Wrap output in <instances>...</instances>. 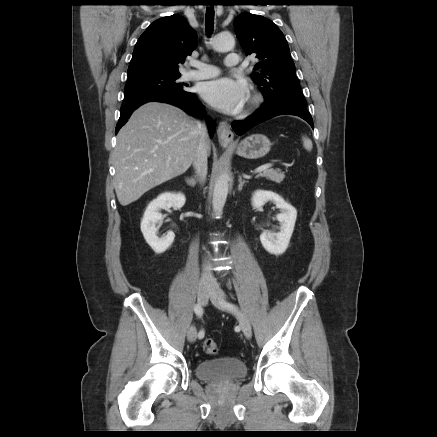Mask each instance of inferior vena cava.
I'll use <instances>...</instances> for the list:
<instances>
[{
	"label": "inferior vena cava",
	"mask_w": 437,
	"mask_h": 437,
	"mask_svg": "<svg viewBox=\"0 0 437 437\" xmlns=\"http://www.w3.org/2000/svg\"><path fill=\"white\" fill-rule=\"evenodd\" d=\"M199 134L200 139L198 143V147L196 150V155L193 160V166L196 169V172L200 176L201 181L203 182L207 175V157L209 155V135L205 125L199 123ZM213 275L210 271V267L208 265H203L201 281L202 282H211L213 281Z\"/></svg>",
	"instance_id": "602c4592"
}]
</instances>
